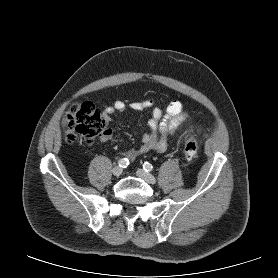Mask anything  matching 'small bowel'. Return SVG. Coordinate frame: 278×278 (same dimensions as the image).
Instances as JSON below:
<instances>
[{"label":"small bowel","mask_w":278,"mask_h":278,"mask_svg":"<svg viewBox=\"0 0 278 278\" xmlns=\"http://www.w3.org/2000/svg\"><path fill=\"white\" fill-rule=\"evenodd\" d=\"M127 107L137 112L151 111V118L148 121L149 131L143 134L142 143L138 147L124 152V155L130 160L150 151L164 152L168 147V135L175 133L187 120L183 105L178 100L171 101L165 111L156 107L151 100L132 102L129 106L123 101H116L112 106L105 109V115L110 117L116 113H123ZM111 134V130L107 129L102 135V139H110Z\"/></svg>","instance_id":"c3829d8e"}]
</instances>
